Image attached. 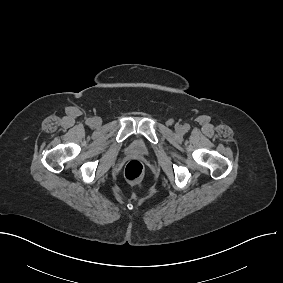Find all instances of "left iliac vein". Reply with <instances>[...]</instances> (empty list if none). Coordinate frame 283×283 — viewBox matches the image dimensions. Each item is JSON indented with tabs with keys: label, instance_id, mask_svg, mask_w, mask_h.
<instances>
[{
	"label": "left iliac vein",
	"instance_id": "obj_1",
	"mask_svg": "<svg viewBox=\"0 0 283 283\" xmlns=\"http://www.w3.org/2000/svg\"><path fill=\"white\" fill-rule=\"evenodd\" d=\"M176 131L179 133L182 132V127L180 125L176 126Z\"/></svg>",
	"mask_w": 283,
	"mask_h": 283
}]
</instances>
